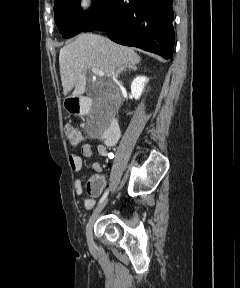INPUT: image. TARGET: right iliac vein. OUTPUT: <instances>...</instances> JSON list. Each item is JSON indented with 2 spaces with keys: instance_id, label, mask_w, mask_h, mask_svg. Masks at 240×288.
<instances>
[{
  "instance_id": "1",
  "label": "right iliac vein",
  "mask_w": 240,
  "mask_h": 288,
  "mask_svg": "<svg viewBox=\"0 0 240 288\" xmlns=\"http://www.w3.org/2000/svg\"><path fill=\"white\" fill-rule=\"evenodd\" d=\"M108 203V199H105L102 204L94 211V213L92 214V216L90 217L87 226H86V238L88 241V244L90 247L93 246V226L95 221L97 220L99 214L101 213V211L105 208V206Z\"/></svg>"
}]
</instances>
